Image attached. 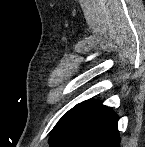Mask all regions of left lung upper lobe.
<instances>
[{
	"label": "left lung upper lobe",
	"instance_id": "obj_1",
	"mask_svg": "<svg viewBox=\"0 0 145 147\" xmlns=\"http://www.w3.org/2000/svg\"><path fill=\"white\" fill-rule=\"evenodd\" d=\"M79 104L76 105L74 108L69 110L55 125V127L52 130L51 138H50V143H53L57 141L64 131L66 130L67 126L69 125L70 121L72 120Z\"/></svg>",
	"mask_w": 145,
	"mask_h": 147
}]
</instances>
